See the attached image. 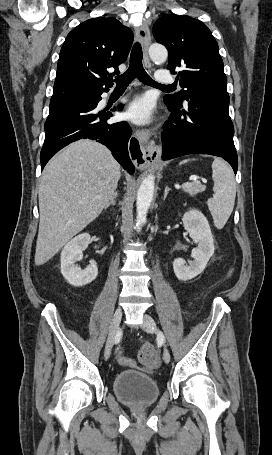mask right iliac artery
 Here are the masks:
<instances>
[{"instance_id":"82829eb1","label":"right iliac artery","mask_w":272,"mask_h":455,"mask_svg":"<svg viewBox=\"0 0 272 455\" xmlns=\"http://www.w3.org/2000/svg\"><path fill=\"white\" fill-rule=\"evenodd\" d=\"M121 336H122V332H121V330H118L117 334L115 336V340H117V341L120 340Z\"/></svg>"}]
</instances>
